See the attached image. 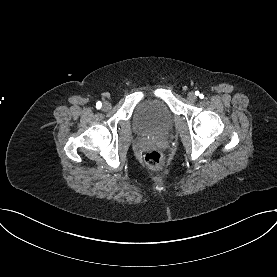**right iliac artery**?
Listing matches in <instances>:
<instances>
[{
	"label": "right iliac artery",
	"instance_id": "right-iliac-artery-1",
	"mask_svg": "<svg viewBox=\"0 0 277 277\" xmlns=\"http://www.w3.org/2000/svg\"><path fill=\"white\" fill-rule=\"evenodd\" d=\"M101 106H102V103H101L100 101L96 103V107H97L98 109L101 108Z\"/></svg>",
	"mask_w": 277,
	"mask_h": 277
}]
</instances>
